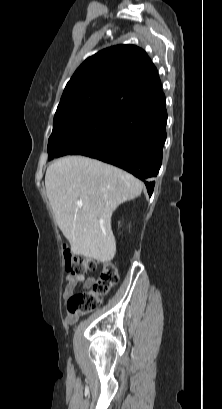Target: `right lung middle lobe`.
I'll return each instance as SVG.
<instances>
[{
	"label": "right lung middle lobe",
	"mask_w": 222,
	"mask_h": 409,
	"mask_svg": "<svg viewBox=\"0 0 222 409\" xmlns=\"http://www.w3.org/2000/svg\"><path fill=\"white\" fill-rule=\"evenodd\" d=\"M120 107V104L105 102L57 111L48 142L49 160L68 154L87 155L96 150Z\"/></svg>",
	"instance_id": "right-lung-middle-lobe-1"
}]
</instances>
